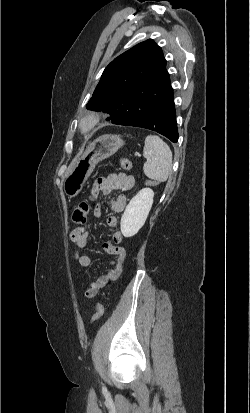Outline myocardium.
Masks as SVG:
<instances>
[{"label":"myocardium","instance_id":"f54148a6","mask_svg":"<svg viewBox=\"0 0 250 413\" xmlns=\"http://www.w3.org/2000/svg\"><path fill=\"white\" fill-rule=\"evenodd\" d=\"M103 114L99 111H89L84 114L78 123L79 131L82 134H88L92 132L98 124L101 122Z\"/></svg>","mask_w":250,"mask_h":413}]
</instances>
